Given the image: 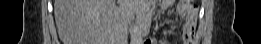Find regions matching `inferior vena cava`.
I'll use <instances>...</instances> for the list:
<instances>
[{
    "label": "inferior vena cava",
    "instance_id": "obj_1",
    "mask_svg": "<svg viewBox=\"0 0 261 44\" xmlns=\"http://www.w3.org/2000/svg\"><path fill=\"white\" fill-rule=\"evenodd\" d=\"M121 35L123 39H127V27H126V22H122L121 24Z\"/></svg>",
    "mask_w": 261,
    "mask_h": 44
}]
</instances>
